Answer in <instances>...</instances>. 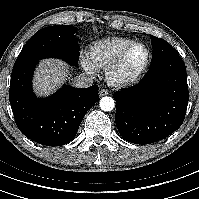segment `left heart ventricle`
<instances>
[{"instance_id":"obj_1","label":"left heart ventricle","mask_w":199,"mask_h":199,"mask_svg":"<svg viewBox=\"0 0 199 199\" xmlns=\"http://www.w3.org/2000/svg\"><path fill=\"white\" fill-rule=\"evenodd\" d=\"M145 59V50L142 47H136L127 55L119 75L122 77H130L134 75L142 66Z\"/></svg>"}]
</instances>
